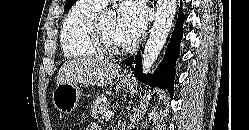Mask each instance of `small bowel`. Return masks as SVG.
<instances>
[{
	"instance_id": "small-bowel-1",
	"label": "small bowel",
	"mask_w": 249,
	"mask_h": 130,
	"mask_svg": "<svg viewBox=\"0 0 249 130\" xmlns=\"http://www.w3.org/2000/svg\"><path fill=\"white\" fill-rule=\"evenodd\" d=\"M86 130H101L99 126L95 123L90 124Z\"/></svg>"
}]
</instances>
